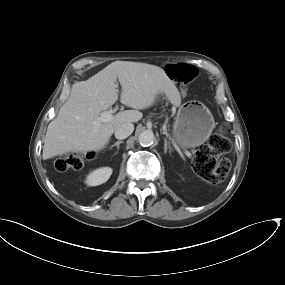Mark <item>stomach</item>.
Masks as SVG:
<instances>
[{"label":"stomach","mask_w":285,"mask_h":285,"mask_svg":"<svg viewBox=\"0 0 285 285\" xmlns=\"http://www.w3.org/2000/svg\"><path fill=\"white\" fill-rule=\"evenodd\" d=\"M214 128L209 109L197 101L180 106L173 125V139L182 148H194L208 140Z\"/></svg>","instance_id":"obj_1"}]
</instances>
